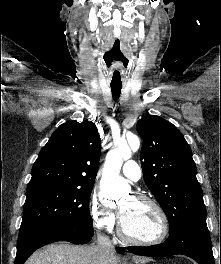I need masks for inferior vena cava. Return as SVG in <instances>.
<instances>
[{
    "mask_svg": "<svg viewBox=\"0 0 221 264\" xmlns=\"http://www.w3.org/2000/svg\"><path fill=\"white\" fill-rule=\"evenodd\" d=\"M97 243H98V247L102 250V252L108 254L115 253V248L108 236L98 233Z\"/></svg>",
    "mask_w": 221,
    "mask_h": 264,
    "instance_id": "inferior-vena-cava-1",
    "label": "inferior vena cava"
}]
</instances>
